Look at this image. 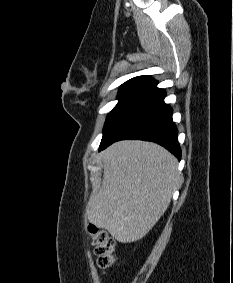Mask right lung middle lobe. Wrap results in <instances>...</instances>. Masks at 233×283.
Listing matches in <instances>:
<instances>
[{"label": "right lung middle lobe", "mask_w": 233, "mask_h": 283, "mask_svg": "<svg viewBox=\"0 0 233 283\" xmlns=\"http://www.w3.org/2000/svg\"><path fill=\"white\" fill-rule=\"evenodd\" d=\"M151 85L150 82H129L120 86L117 99L119 102L112 109L106 118L103 128V137L101 144L107 139L112 130L123 118L134 102ZM100 144V145H101Z\"/></svg>", "instance_id": "right-lung-middle-lobe-1"}]
</instances>
